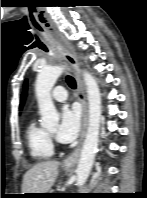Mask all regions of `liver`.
<instances>
[{
	"instance_id": "obj_1",
	"label": "liver",
	"mask_w": 147,
	"mask_h": 198,
	"mask_svg": "<svg viewBox=\"0 0 147 198\" xmlns=\"http://www.w3.org/2000/svg\"><path fill=\"white\" fill-rule=\"evenodd\" d=\"M59 165V161H42L35 164L23 177V194L47 193L57 179Z\"/></svg>"
}]
</instances>
